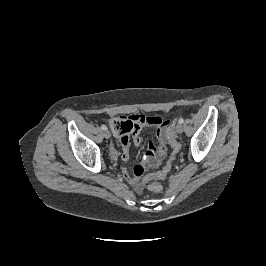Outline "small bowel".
Instances as JSON below:
<instances>
[{"mask_svg": "<svg viewBox=\"0 0 266 266\" xmlns=\"http://www.w3.org/2000/svg\"><path fill=\"white\" fill-rule=\"evenodd\" d=\"M109 125L122 148L121 159L124 163L122 167V175L124 179L129 182L136 191L142 190V183L140 179L146 169L157 168L167 153L166 140L167 130L171 125V121L164 120L160 117H148L144 115H130L112 118ZM156 128L157 143L150 142L147 150L144 153L142 164L136 165L133 168V173L130 174L125 164L129 160L130 138H132L135 145L140 146L142 137L140 131L142 127ZM116 155V153H114Z\"/></svg>", "mask_w": 266, "mask_h": 266, "instance_id": "small-bowel-1", "label": "small bowel"}]
</instances>
